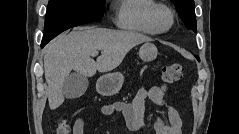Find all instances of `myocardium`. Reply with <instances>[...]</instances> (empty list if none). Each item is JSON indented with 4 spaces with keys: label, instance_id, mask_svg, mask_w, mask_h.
Returning a JSON list of instances; mask_svg holds the SVG:
<instances>
[{
    "label": "myocardium",
    "instance_id": "f54148a6",
    "mask_svg": "<svg viewBox=\"0 0 239 134\" xmlns=\"http://www.w3.org/2000/svg\"><path fill=\"white\" fill-rule=\"evenodd\" d=\"M162 12L167 13L170 18V22H169L168 26H166V27H161L158 23V16ZM148 20H149L151 26L154 28V30L157 33L162 34V33L168 32L173 27L174 22H175V16H174L172 9L170 7H168L166 4L156 3L149 10Z\"/></svg>",
    "mask_w": 239,
    "mask_h": 134
}]
</instances>
